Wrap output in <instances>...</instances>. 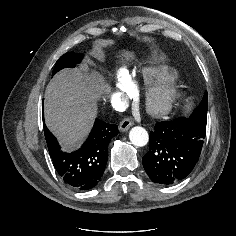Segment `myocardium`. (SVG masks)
Wrapping results in <instances>:
<instances>
[{
    "label": "myocardium",
    "instance_id": "myocardium-1",
    "mask_svg": "<svg viewBox=\"0 0 236 236\" xmlns=\"http://www.w3.org/2000/svg\"><path fill=\"white\" fill-rule=\"evenodd\" d=\"M178 89L173 79L151 84L143 93V104L146 112L153 117L167 115L178 99Z\"/></svg>",
    "mask_w": 236,
    "mask_h": 236
}]
</instances>
